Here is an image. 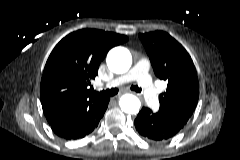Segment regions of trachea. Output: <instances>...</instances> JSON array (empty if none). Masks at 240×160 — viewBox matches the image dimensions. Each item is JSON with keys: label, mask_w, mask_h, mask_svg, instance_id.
Returning a JSON list of instances; mask_svg holds the SVG:
<instances>
[{"label": "trachea", "mask_w": 240, "mask_h": 160, "mask_svg": "<svg viewBox=\"0 0 240 160\" xmlns=\"http://www.w3.org/2000/svg\"><path fill=\"white\" fill-rule=\"evenodd\" d=\"M131 90L140 93L141 89L138 86H131ZM118 93V89L117 88H112V89H107V90H103L101 91V94L104 96H115Z\"/></svg>", "instance_id": "1"}]
</instances>
